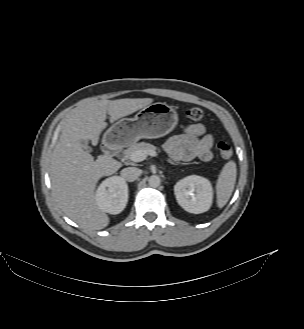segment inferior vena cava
<instances>
[{"label": "inferior vena cava", "instance_id": "inferior-vena-cava-1", "mask_svg": "<svg viewBox=\"0 0 304 329\" xmlns=\"http://www.w3.org/2000/svg\"><path fill=\"white\" fill-rule=\"evenodd\" d=\"M121 178L128 182L135 181L140 175V170L136 167H127L121 170Z\"/></svg>", "mask_w": 304, "mask_h": 329}]
</instances>
